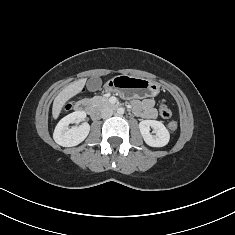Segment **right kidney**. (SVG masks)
<instances>
[{
	"label": "right kidney",
	"mask_w": 235,
	"mask_h": 235,
	"mask_svg": "<svg viewBox=\"0 0 235 235\" xmlns=\"http://www.w3.org/2000/svg\"><path fill=\"white\" fill-rule=\"evenodd\" d=\"M86 113L84 111L73 112L62 118L57 124L53 138L57 144L63 147H72L80 144L88 136L90 125L82 123L80 126L68 128L69 124L84 120Z\"/></svg>",
	"instance_id": "right-kidney-1"
}]
</instances>
